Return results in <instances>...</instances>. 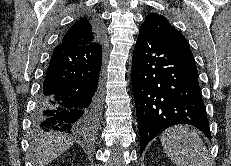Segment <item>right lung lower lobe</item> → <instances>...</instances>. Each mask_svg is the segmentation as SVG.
Segmentation results:
<instances>
[{
    "label": "right lung lower lobe",
    "instance_id": "98d812e1",
    "mask_svg": "<svg viewBox=\"0 0 231 166\" xmlns=\"http://www.w3.org/2000/svg\"><path fill=\"white\" fill-rule=\"evenodd\" d=\"M103 39L55 47L37 99V129L78 135L97 126L102 106Z\"/></svg>",
    "mask_w": 231,
    "mask_h": 166
}]
</instances>
